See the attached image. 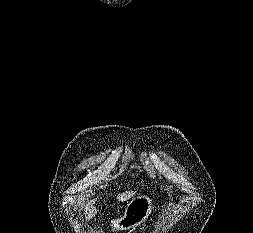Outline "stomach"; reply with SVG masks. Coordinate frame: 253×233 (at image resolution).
Instances as JSON below:
<instances>
[{"mask_svg":"<svg viewBox=\"0 0 253 233\" xmlns=\"http://www.w3.org/2000/svg\"><path fill=\"white\" fill-rule=\"evenodd\" d=\"M153 210L152 200L147 195L134 197L120 218L112 221L115 230H131L144 224Z\"/></svg>","mask_w":253,"mask_h":233,"instance_id":"obj_1","label":"stomach"}]
</instances>
